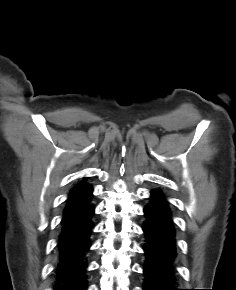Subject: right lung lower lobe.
Instances as JSON below:
<instances>
[{
  "mask_svg": "<svg viewBox=\"0 0 236 290\" xmlns=\"http://www.w3.org/2000/svg\"><path fill=\"white\" fill-rule=\"evenodd\" d=\"M94 213L95 207L91 199L84 205L63 213L54 290H86V261L91 246Z\"/></svg>",
  "mask_w": 236,
  "mask_h": 290,
  "instance_id": "right-lung-lower-lobe-1",
  "label": "right lung lower lobe"
}]
</instances>
